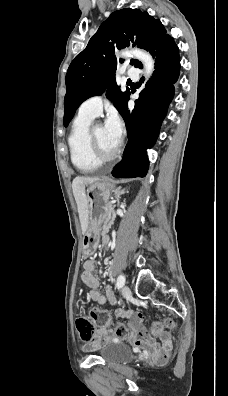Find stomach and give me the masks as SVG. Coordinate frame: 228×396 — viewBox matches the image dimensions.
Masks as SVG:
<instances>
[{"mask_svg":"<svg viewBox=\"0 0 228 396\" xmlns=\"http://www.w3.org/2000/svg\"><path fill=\"white\" fill-rule=\"evenodd\" d=\"M114 190V185L107 179H100L89 184L86 190L88 208V227L82 238L83 257H89L96 251L99 240L101 226L108 220L112 213L109 199Z\"/></svg>","mask_w":228,"mask_h":396,"instance_id":"obj_1","label":"stomach"}]
</instances>
